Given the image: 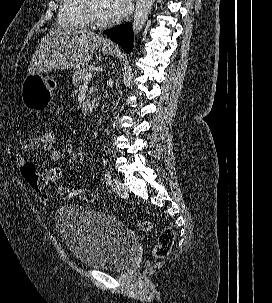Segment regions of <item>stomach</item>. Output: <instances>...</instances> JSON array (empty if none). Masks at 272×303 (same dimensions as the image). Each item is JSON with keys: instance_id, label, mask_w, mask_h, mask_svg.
<instances>
[{"instance_id": "1", "label": "stomach", "mask_w": 272, "mask_h": 303, "mask_svg": "<svg viewBox=\"0 0 272 303\" xmlns=\"http://www.w3.org/2000/svg\"><path fill=\"white\" fill-rule=\"evenodd\" d=\"M102 51L112 54L115 49L104 45ZM53 79L43 74L27 75L21 85V97L29 110L45 109L51 102L54 92Z\"/></svg>"}]
</instances>
